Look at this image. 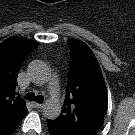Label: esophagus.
Returning a JSON list of instances; mask_svg holds the SVG:
<instances>
[{"label": "esophagus", "instance_id": "1", "mask_svg": "<svg viewBox=\"0 0 135 135\" xmlns=\"http://www.w3.org/2000/svg\"><path fill=\"white\" fill-rule=\"evenodd\" d=\"M32 105L34 108H42L43 104L37 103V102H32Z\"/></svg>", "mask_w": 135, "mask_h": 135}]
</instances>
